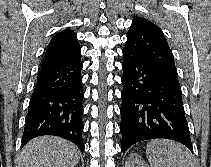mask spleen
<instances>
[{
    "label": "spleen",
    "instance_id": "3e777b00",
    "mask_svg": "<svg viewBox=\"0 0 211 167\" xmlns=\"http://www.w3.org/2000/svg\"><path fill=\"white\" fill-rule=\"evenodd\" d=\"M146 155L151 167H196L190 150L173 140L150 141Z\"/></svg>",
    "mask_w": 211,
    "mask_h": 167
}]
</instances>
